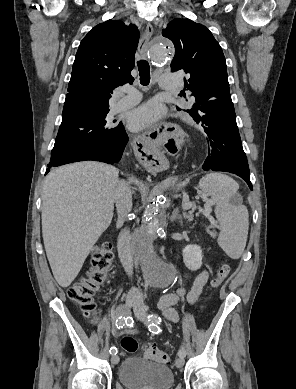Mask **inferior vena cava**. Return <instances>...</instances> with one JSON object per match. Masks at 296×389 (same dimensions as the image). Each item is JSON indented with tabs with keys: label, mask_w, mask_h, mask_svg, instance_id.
Wrapping results in <instances>:
<instances>
[{
	"label": "inferior vena cava",
	"mask_w": 296,
	"mask_h": 389,
	"mask_svg": "<svg viewBox=\"0 0 296 389\" xmlns=\"http://www.w3.org/2000/svg\"><path fill=\"white\" fill-rule=\"evenodd\" d=\"M115 203L119 220H124L132 210V191L129 185L121 180L115 190ZM119 256L121 263L129 276L132 275L133 260L130 251L131 237L128 230L121 231L118 239ZM128 298L140 300V291L132 287L128 293Z\"/></svg>",
	"instance_id": "1"
}]
</instances>
